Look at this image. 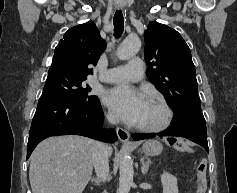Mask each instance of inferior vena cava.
<instances>
[{
	"label": "inferior vena cava",
	"instance_id": "obj_1",
	"mask_svg": "<svg viewBox=\"0 0 237 193\" xmlns=\"http://www.w3.org/2000/svg\"><path fill=\"white\" fill-rule=\"evenodd\" d=\"M107 119L112 124L118 122V118L113 114H108ZM108 158H109V148L101 142H96L93 156V165L95 168V172L101 181H105L108 177L109 173Z\"/></svg>",
	"mask_w": 237,
	"mask_h": 193
}]
</instances>
